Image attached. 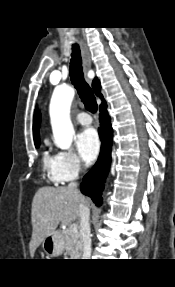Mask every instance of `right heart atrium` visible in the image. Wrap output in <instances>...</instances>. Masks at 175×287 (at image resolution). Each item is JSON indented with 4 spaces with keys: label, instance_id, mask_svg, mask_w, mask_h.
Returning a JSON list of instances; mask_svg holds the SVG:
<instances>
[{
    "label": "right heart atrium",
    "instance_id": "right-heart-atrium-1",
    "mask_svg": "<svg viewBox=\"0 0 175 287\" xmlns=\"http://www.w3.org/2000/svg\"><path fill=\"white\" fill-rule=\"evenodd\" d=\"M57 175L60 183L75 179L83 169V163L73 152L61 151L56 155Z\"/></svg>",
    "mask_w": 175,
    "mask_h": 287
}]
</instances>
